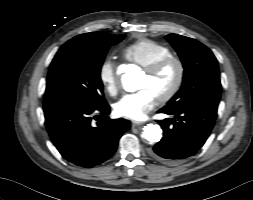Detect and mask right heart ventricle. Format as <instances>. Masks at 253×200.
I'll list each match as a JSON object with an SVG mask.
<instances>
[{"label":"right heart ventricle","mask_w":253,"mask_h":200,"mask_svg":"<svg viewBox=\"0 0 253 200\" xmlns=\"http://www.w3.org/2000/svg\"><path fill=\"white\" fill-rule=\"evenodd\" d=\"M122 55L127 62L145 68L164 57L171 56L172 52L169 47L159 42L142 39L124 48Z\"/></svg>","instance_id":"1"}]
</instances>
